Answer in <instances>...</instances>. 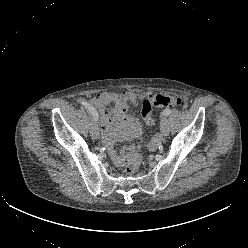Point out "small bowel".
Segmentation results:
<instances>
[{
	"instance_id": "1",
	"label": "small bowel",
	"mask_w": 248,
	"mask_h": 248,
	"mask_svg": "<svg viewBox=\"0 0 248 248\" xmlns=\"http://www.w3.org/2000/svg\"><path fill=\"white\" fill-rule=\"evenodd\" d=\"M143 96L131 91L102 92L91 98L90 103L94 105L101 119L102 139L106 145L113 162L121 165L124 155H118L114 148V143L120 138L138 137L141 134V126L138 120L129 111V103L136 104ZM90 104V105H91ZM113 104L108 109L107 106ZM157 144V139L153 140L152 146Z\"/></svg>"
}]
</instances>
